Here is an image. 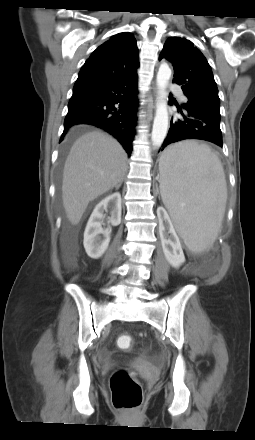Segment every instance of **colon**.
Returning a JSON list of instances; mask_svg holds the SVG:
<instances>
[{"instance_id":"1","label":"colon","mask_w":255,"mask_h":440,"mask_svg":"<svg viewBox=\"0 0 255 440\" xmlns=\"http://www.w3.org/2000/svg\"><path fill=\"white\" fill-rule=\"evenodd\" d=\"M116 342L121 349H130L133 346V338L128 334L119 335ZM110 389L112 403L116 409L134 411L141 406L142 387L127 369H118L112 374Z\"/></svg>"}]
</instances>
